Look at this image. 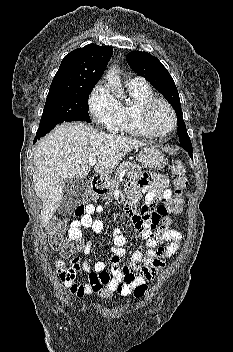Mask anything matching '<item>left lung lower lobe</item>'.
Here are the masks:
<instances>
[{
    "mask_svg": "<svg viewBox=\"0 0 233 352\" xmlns=\"http://www.w3.org/2000/svg\"><path fill=\"white\" fill-rule=\"evenodd\" d=\"M188 153H189V156H190L191 158H193L192 152H188Z\"/></svg>",
    "mask_w": 233,
    "mask_h": 352,
    "instance_id": "left-lung-lower-lobe-1",
    "label": "left lung lower lobe"
}]
</instances>
